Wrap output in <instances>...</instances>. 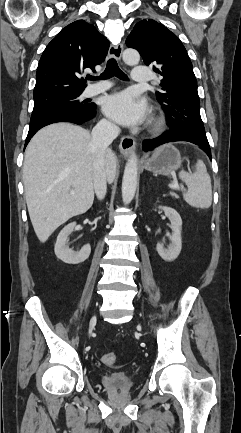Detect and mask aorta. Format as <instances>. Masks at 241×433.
Returning <instances> with one entry per match:
<instances>
[{"instance_id":"obj_1","label":"aorta","mask_w":241,"mask_h":433,"mask_svg":"<svg viewBox=\"0 0 241 433\" xmlns=\"http://www.w3.org/2000/svg\"><path fill=\"white\" fill-rule=\"evenodd\" d=\"M123 60L128 65H135L139 63L140 55L134 49H126L123 52ZM138 158L135 153L129 158L123 175L122 180V199L125 205L129 204L136 192L137 188V170Z\"/></svg>"}]
</instances>
